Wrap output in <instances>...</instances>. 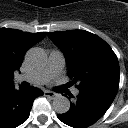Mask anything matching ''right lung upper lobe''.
<instances>
[{"mask_svg": "<svg viewBox=\"0 0 128 128\" xmlns=\"http://www.w3.org/2000/svg\"><path fill=\"white\" fill-rule=\"evenodd\" d=\"M45 36L46 32L0 29V90L14 84V71L20 68L26 51Z\"/></svg>", "mask_w": 128, "mask_h": 128, "instance_id": "1", "label": "right lung upper lobe"}]
</instances>
